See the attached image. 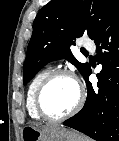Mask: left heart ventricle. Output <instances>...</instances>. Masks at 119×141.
Returning <instances> with one entry per match:
<instances>
[{
  "label": "left heart ventricle",
  "mask_w": 119,
  "mask_h": 141,
  "mask_svg": "<svg viewBox=\"0 0 119 141\" xmlns=\"http://www.w3.org/2000/svg\"><path fill=\"white\" fill-rule=\"evenodd\" d=\"M78 96L74 81L67 76L54 79L44 90L41 104L44 112L57 117L68 112L76 103Z\"/></svg>",
  "instance_id": "1"
}]
</instances>
